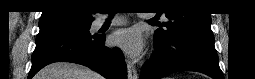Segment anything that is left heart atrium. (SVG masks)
Returning <instances> with one entry per match:
<instances>
[{
  "label": "left heart atrium",
  "instance_id": "obj_1",
  "mask_svg": "<svg viewBox=\"0 0 255 79\" xmlns=\"http://www.w3.org/2000/svg\"><path fill=\"white\" fill-rule=\"evenodd\" d=\"M111 44L124 51L130 57H138L144 48V41L139 30L125 28L115 31L110 38Z\"/></svg>",
  "mask_w": 255,
  "mask_h": 79
}]
</instances>
